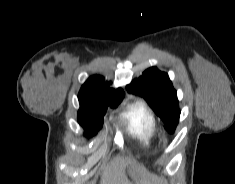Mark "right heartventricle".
<instances>
[{"label":"right heart ventricle","mask_w":235,"mask_h":184,"mask_svg":"<svg viewBox=\"0 0 235 184\" xmlns=\"http://www.w3.org/2000/svg\"><path fill=\"white\" fill-rule=\"evenodd\" d=\"M119 121L125 126L129 136L145 146L154 144L158 136V126L152 109L143 101L128 104L120 113Z\"/></svg>","instance_id":"e07e8e85"}]
</instances>
